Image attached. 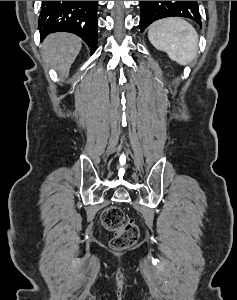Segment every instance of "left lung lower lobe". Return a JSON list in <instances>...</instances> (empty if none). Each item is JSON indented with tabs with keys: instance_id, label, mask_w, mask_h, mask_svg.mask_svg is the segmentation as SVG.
Returning <instances> with one entry per match:
<instances>
[{
	"instance_id": "1",
	"label": "left lung lower lobe",
	"mask_w": 237,
	"mask_h": 300,
	"mask_svg": "<svg viewBox=\"0 0 237 300\" xmlns=\"http://www.w3.org/2000/svg\"><path fill=\"white\" fill-rule=\"evenodd\" d=\"M176 3L179 6H182L184 8H193V9H195V12H197L198 15H199L198 6L196 4V1H176Z\"/></svg>"
}]
</instances>
